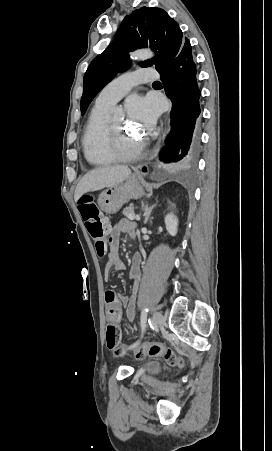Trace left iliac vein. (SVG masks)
<instances>
[{"instance_id":"4c4485c4","label":"left iliac vein","mask_w":272,"mask_h":451,"mask_svg":"<svg viewBox=\"0 0 272 451\" xmlns=\"http://www.w3.org/2000/svg\"><path fill=\"white\" fill-rule=\"evenodd\" d=\"M152 320L156 327L160 326L164 323V318L161 312L155 311L152 317Z\"/></svg>"}]
</instances>
